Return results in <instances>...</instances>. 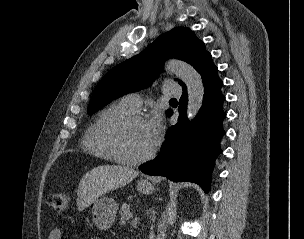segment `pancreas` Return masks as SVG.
<instances>
[{"instance_id":"cf45deb5","label":"pancreas","mask_w":304,"mask_h":239,"mask_svg":"<svg viewBox=\"0 0 304 239\" xmlns=\"http://www.w3.org/2000/svg\"><path fill=\"white\" fill-rule=\"evenodd\" d=\"M119 213H120L119 222L121 224H125L133 217V214L130 212V206L126 203L122 204Z\"/></svg>"}]
</instances>
